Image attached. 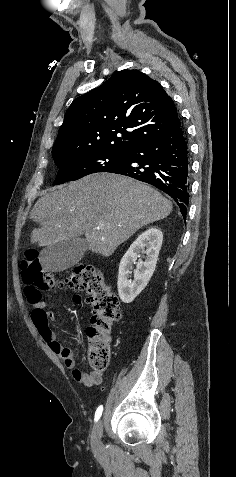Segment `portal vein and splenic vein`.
Instances as JSON below:
<instances>
[{
  "label": "portal vein and splenic vein",
  "instance_id": "portal-vein-and-splenic-vein-1",
  "mask_svg": "<svg viewBox=\"0 0 236 477\" xmlns=\"http://www.w3.org/2000/svg\"><path fill=\"white\" fill-rule=\"evenodd\" d=\"M102 226H103V224H99V227H98V228H100V227H102Z\"/></svg>",
  "mask_w": 236,
  "mask_h": 477
}]
</instances>
